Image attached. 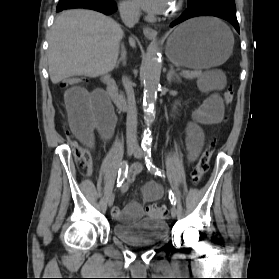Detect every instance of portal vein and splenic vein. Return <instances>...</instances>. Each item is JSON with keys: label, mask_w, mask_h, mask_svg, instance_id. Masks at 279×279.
<instances>
[{"label": "portal vein and splenic vein", "mask_w": 279, "mask_h": 279, "mask_svg": "<svg viewBox=\"0 0 279 279\" xmlns=\"http://www.w3.org/2000/svg\"><path fill=\"white\" fill-rule=\"evenodd\" d=\"M200 72L198 71H192V72H189V71H182L181 75L185 76V77H191L193 75H199Z\"/></svg>", "instance_id": "portal-vein-and-splenic-vein-1"}]
</instances>
